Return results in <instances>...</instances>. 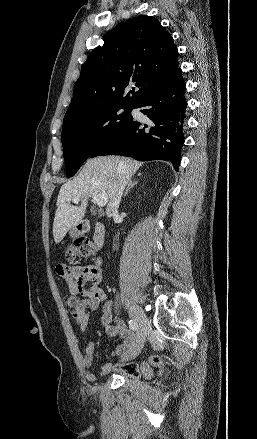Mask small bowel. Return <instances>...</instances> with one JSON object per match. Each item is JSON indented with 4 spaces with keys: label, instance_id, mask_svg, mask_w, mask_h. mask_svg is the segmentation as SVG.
<instances>
[{
    "label": "small bowel",
    "instance_id": "c3829d8e",
    "mask_svg": "<svg viewBox=\"0 0 257 439\" xmlns=\"http://www.w3.org/2000/svg\"><path fill=\"white\" fill-rule=\"evenodd\" d=\"M57 273L68 283L71 292H80L83 297L81 309L74 314V319L82 331H85L89 322L87 310H98L102 306V325L108 337L118 336L121 343L117 345L112 354L119 358L116 364L105 363L100 371L94 372L92 366L95 361V345L88 342L84 348L83 364L86 369V378L89 381H96L105 376L112 368H123L130 360L137 355V340L134 334L126 325L113 318L112 302L107 300L105 292L100 288L102 280L101 271L95 266H57ZM89 288H85L86 284Z\"/></svg>",
    "mask_w": 257,
    "mask_h": 439
}]
</instances>
